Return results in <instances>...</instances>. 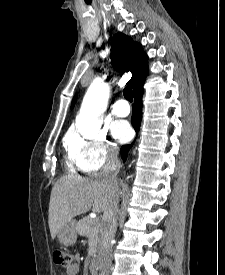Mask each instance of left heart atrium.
I'll use <instances>...</instances> for the list:
<instances>
[{
	"mask_svg": "<svg viewBox=\"0 0 225 275\" xmlns=\"http://www.w3.org/2000/svg\"><path fill=\"white\" fill-rule=\"evenodd\" d=\"M112 135L120 142L127 141L131 136V128L125 121H116L111 126Z\"/></svg>",
	"mask_w": 225,
	"mask_h": 275,
	"instance_id": "obj_1",
	"label": "left heart atrium"
}]
</instances>
